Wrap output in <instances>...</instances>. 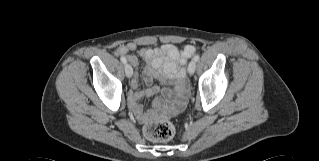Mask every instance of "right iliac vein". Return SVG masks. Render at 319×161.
<instances>
[{"label":"right iliac vein","instance_id":"63e3f726","mask_svg":"<svg viewBox=\"0 0 319 161\" xmlns=\"http://www.w3.org/2000/svg\"><path fill=\"white\" fill-rule=\"evenodd\" d=\"M125 74L128 78H130L133 74V68L130 64L125 65Z\"/></svg>","mask_w":319,"mask_h":161}]
</instances>
